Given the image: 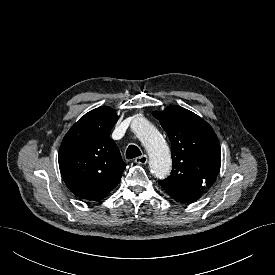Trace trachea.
<instances>
[{
	"instance_id": "obj_1",
	"label": "trachea",
	"mask_w": 275,
	"mask_h": 275,
	"mask_svg": "<svg viewBox=\"0 0 275 275\" xmlns=\"http://www.w3.org/2000/svg\"><path fill=\"white\" fill-rule=\"evenodd\" d=\"M141 155V151L135 145H130L126 150L127 159H133Z\"/></svg>"
}]
</instances>
